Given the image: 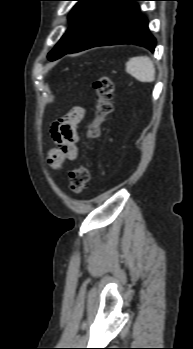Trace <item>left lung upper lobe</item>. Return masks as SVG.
Segmentation results:
<instances>
[{
	"label": "left lung upper lobe",
	"mask_w": 193,
	"mask_h": 349,
	"mask_svg": "<svg viewBox=\"0 0 193 349\" xmlns=\"http://www.w3.org/2000/svg\"><path fill=\"white\" fill-rule=\"evenodd\" d=\"M79 1L68 19L71 26L57 45L48 53V59L53 61L71 49L83 35L89 25L104 10L111 0H76Z\"/></svg>",
	"instance_id": "5c2ea615"
}]
</instances>
